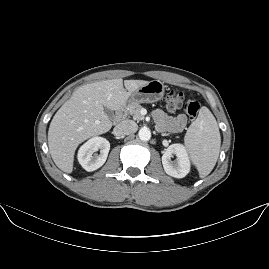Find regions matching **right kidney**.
I'll use <instances>...</instances> for the list:
<instances>
[{"label": "right kidney", "mask_w": 269, "mask_h": 269, "mask_svg": "<svg viewBox=\"0 0 269 269\" xmlns=\"http://www.w3.org/2000/svg\"><path fill=\"white\" fill-rule=\"evenodd\" d=\"M100 150V154H94ZM110 150V143L103 137H93L78 150V161L86 171L100 168L106 161Z\"/></svg>", "instance_id": "right-kidney-1"}]
</instances>
